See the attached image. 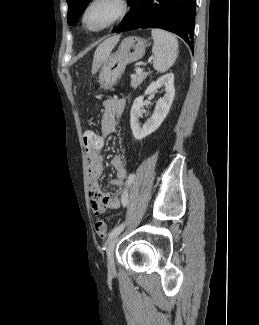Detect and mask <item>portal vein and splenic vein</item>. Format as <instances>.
Wrapping results in <instances>:
<instances>
[{
  "label": "portal vein and splenic vein",
  "instance_id": "obj_1",
  "mask_svg": "<svg viewBox=\"0 0 259 325\" xmlns=\"http://www.w3.org/2000/svg\"><path fill=\"white\" fill-rule=\"evenodd\" d=\"M137 73H141L142 72V69L141 68H137Z\"/></svg>",
  "mask_w": 259,
  "mask_h": 325
}]
</instances>
